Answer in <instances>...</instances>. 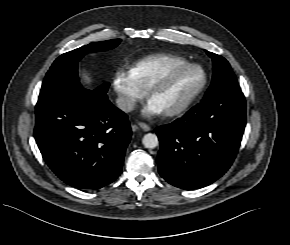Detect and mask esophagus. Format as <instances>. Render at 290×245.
I'll return each instance as SVG.
<instances>
[{"label":"esophagus","mask_w":290,"mask_h":245,"mask_svg":"<svg viewBox=\"0 0 290 245\" xmlns=\"http://www.w3.org/2000/svg\"><path fill=\"white\" fill-rule=\"evenodd\" d=\"M138 125H139V127L141 128V129H143L144 131H150V127L147 125V124H145V123H143V122H139L138 123Z\"/></svg>","instance_id":"34e87169"}]
</instances>
